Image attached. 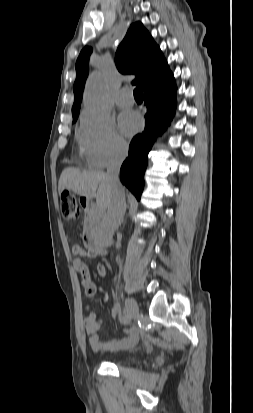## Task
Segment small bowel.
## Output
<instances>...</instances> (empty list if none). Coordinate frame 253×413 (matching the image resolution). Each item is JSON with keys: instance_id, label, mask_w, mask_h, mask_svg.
Here are the masks:
<instances>
[{"instance_id": "c3829d8e", "label": "small bowel", "mask_w": 253, "mask_h": 413, "mask_svg": "<svg viewBox=\"0 0 253 413\" xmlns=\"http://www.w3.org/2000/svg\"><path fill=\"white\" fill-rule=\"evenodd\" d=\"M73 253L77 256V258L73 261V266L75 270L81 275L82 277V284L85 289V293L87 296L91 297L95 295L97 288L96 285L92 282L90 271L87 264L82 259L83 256L89 255L86 254V251L81 245H75L73 247ZM97 274L100 277H105L106 275V267L102 262H99L96 267ZM91 291V292H90ZM112 314L114 316L121 314V308L119 304H114L112 309ZM120 321L124 323L122 318L120 317ZM84 326L85 332L88 336V341L91 349L95 353H107V352H116L120 350L128 349L134 346L140 338V330L135 327H129L123 329L124 335L122 337H115L110 339L107 342H101L98 336V331L101 327V319L97 316L96 313L90 312L84 319Z\"/></svg>"}]
</instances>
